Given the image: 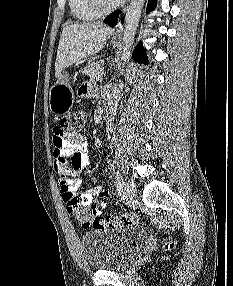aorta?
<instances>
[{"mask_svg": "<svg viewBox=\"0 0 233 286\" xmlns=\"http://www.w3.org/2000/svg\"><path fill=\"white\" fill-rule=\"evenodd\" d=\"M145 0H131L130 5L126 11L125 26H124V41H123V54L122 64H126L130 58L134 38L136 35L137 27L141 18L142 9Z\"/></svg>", "mask_w": 233, "mask_h": 286, "instance_id": "aorta-1", "label": "aorta"}]
</instances>
